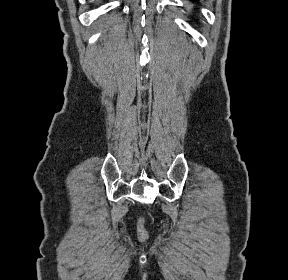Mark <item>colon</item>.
<instances>
[{
  "mask_svg": "<svg viewBox=\"0 0 288 280\" xmlns=\"http://www.w3.org/2000/svg\"><path fill=\"white\" fill-rule=\"evenodd\" d=\"M138 231L140 236L145 237L146 236V232L144 229V219H140L139 223H138Z\"/></svg>",
  "mask_w": 288,
  "mask_h": 280,
  "instance_id": "5ec220e1",
  "label": "colon"
}]
</instances>
